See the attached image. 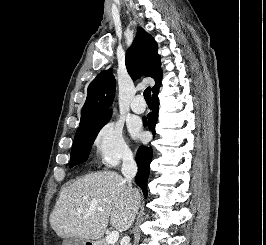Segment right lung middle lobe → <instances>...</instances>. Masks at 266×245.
<instances>
[{"label":"right lung middle lobe","instance_id":"right-lung-middle-lobe-1","mask_svg":"<svg viewBox=\"0 0 266 245\" xmlns=\"http://www.w3.org/2000/svg\"><path fill=\"white\" fill-rule=\"evenodd\" d=\"M110 118L111 115H107L79 125L72 146L70 168L87 160L98 132Z\"/></svg>","mask_w":266,"mask_h":245}]
</instances>
